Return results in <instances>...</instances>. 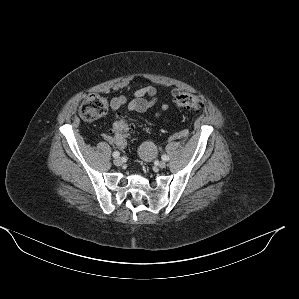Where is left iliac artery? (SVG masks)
I'll return each instance as SVG.
<instances>
[{"mask_svg": "<svg viewBox=\"0 0 299 299\" xmlns=\"http://www.w3.org/2000/svg\"><path fill=\"white\" fill-rule=\"evenodd\" d=\"M162 159H163L164 161H168V160H169V157H168L166 154H164V155H162Z\"/></svg>", "mask_w": 299, "mask_h": 299, "instance_id": "1", "label": "left iliac artery"}]
</instances>
